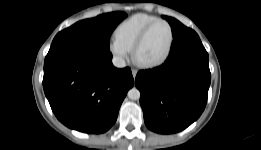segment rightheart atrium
I'll return each mask as SVG.
<instances>
[{"label": "right heart atrium", "instance_id": "obj_1", "mask_svg": "<svg viewBox=\"0 0 261 150\" xmlns=\"http://www.w3.org/2000/svg\"><path fill=\"white\" fill-rule=\"evenodd\" d=\"M109 50L118 63H123L130 54V50L115 38L110 41Z\"/></svg>", "mask_w": 261, "mask_h": 150}]
</instances>
